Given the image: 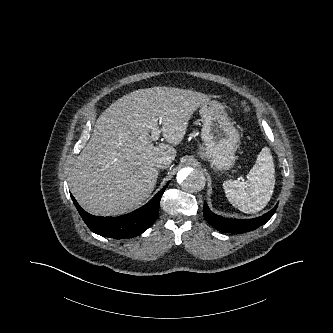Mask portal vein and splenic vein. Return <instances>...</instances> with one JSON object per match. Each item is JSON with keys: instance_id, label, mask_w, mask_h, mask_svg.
<instances>
[{"instance_id": "obj_1", "label": "portal vein and splenic vein", "mask_w": 333, "mask_h": 333, "mask_svg": "<svg viewBox=\"0 0 333 333\" xmlns=\"http://www.w3.org/2000/svg\"><path fill=\"white\" fill-rule=\"evenodd\" d=\"M157 119H153L151 122H150V129H151V140L152 141H156L159 139V136H160V133L161 131L159 130V127H158V124H157Z\"/></svg>"}]
</instances>
